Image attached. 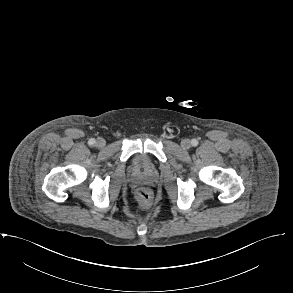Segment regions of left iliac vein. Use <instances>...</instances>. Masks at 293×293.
Returning a JSON list of instances; mask_svg holds the SVG:
<instances>
[{"label":"left iliac vein","instance_id":"4c4485c4","mask_svg":"<svg viewBox=\"0 0 293 293\" xmlns=\"http://www.w3.org/2000/svg\"><path fill=\"white\" fill-rule=\"evenodd\" d=\"M181 147H182L183 149H189V148L191 147V142H190V140H189V139H183V140L181 141Z\"/></svg>","mask_w":293,"mask_h":293}]
</instances>
